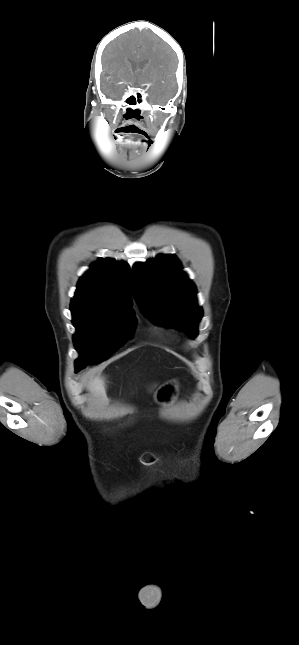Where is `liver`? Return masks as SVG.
<instances>
[{
	"label": "liver",
	"instance_id": "liver-1",
	"mask_svg": "<svg viewBox=\"0 0 299 645\" xmlns=\"http://www.w3.org/2000/svg\"><path fill=\"white\" fill-rule=\"evenodd\" d=\"M88 390L96 399L99 400V405L106 403L105 381L102 376H97L92 379L88 384Z\"/></svg>",
	"mask_w": 299,
	"mask_h": 645
}]
</instances>
